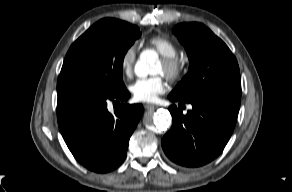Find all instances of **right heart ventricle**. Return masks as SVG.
I'll return each mask as SVG.
<instances>
[{"instance_id":"e07e8e85","label":"right heart ventricle","mask_w":292,"mask_h":192,"mask_svg":"<svg viewBox=\"0 0 292 192\" xmlns=\"http://www.w3.org/2000/svg\"><path fill=\"white\" fill-rule=\"evenodd\" d=\"M148 43L162 56L172 58L177 56V45L168 37L153 36L148 40Z\"/></svg>"}]
</instances>
